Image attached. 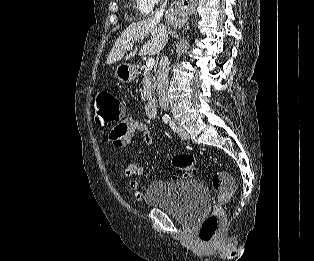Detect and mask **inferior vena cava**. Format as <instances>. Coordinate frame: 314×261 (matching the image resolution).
<instances>
[{"label": "inferior vena cava", "mask_w": 314, "mask_h": 261, "mask_svg": "<svg viewBox=\"0 0 314 261\" xmlns=\"http://www.w3.org/2000/svg\"><path fill=\"white\" fill-rule=\"evenodd\" d=\"M166 4L167 0H164L163 4L160 6V9L155 15L156 20H160L162 18ZM168 73V59L167 57H163L159 63V68L157 71V96L159 105L164 111H167L169 108Z\"/></svg>", "instance_id": "inferior-vena-cava-1"}]
</instances>
